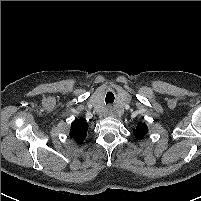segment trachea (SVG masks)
I'll use <instances>...</instances> for the list:
<instances>
[{
  "label": "trachea",
  "mask_w": 201,
  "mask_h": 201,
  "mask_svg": "<svg viewBox=\"0 0 201 201\" xmlns=\"http://www.w3.org/2000/svg\"><path fill=\"white\" fill-rule=\"evenodd\" d=\"M105 102L106 104H111L114 102V95L111 92L107 93Z\"/></svg>",
  "instance_id": "obj_1"
}]
</instances>
